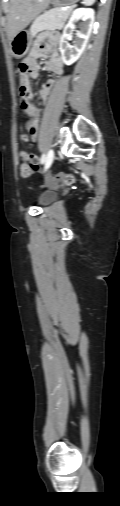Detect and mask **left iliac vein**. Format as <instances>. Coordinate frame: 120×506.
Wrapping results in <instances>:
<instances>
[{
  "instance_id": "left-iliac-vein-1",
  "label": "left iliac vein",
  "mask_w": 120,
  "mask_h": 506,
  "mask_svg": "<svg viewBox=\"0 0 120 506\" xmlns=\"http://www.w3.org/2000/svg\"><path fill=\"white\" fill-rule=\"evenodd\" d=\"M53 160H54V152L53 150H50L46 157L45 169H48L51 166Z\"/></svg>"
}]
</instances>
